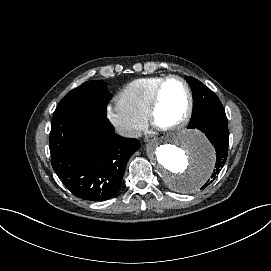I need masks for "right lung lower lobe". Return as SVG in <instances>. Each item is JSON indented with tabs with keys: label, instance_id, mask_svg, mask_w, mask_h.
<instances>
[{
	"label": "right lung lower lobe",
	"instance_id": "obj_1",
	"mask_svg": "<svg viewBox=\"0 0 271 271\" xmlns=\"http://www.w3.org/2000/svg\"><path fill=\"white\" fill-rule=\"evenodd\" d=\"M49 144L52 167L62 183L76 197L89 201L117 194L126 164L140 148L137 139L115 134L106 113L89 109L55 115Z\"/></svg>",
	"mask_w": 271,
	"mask_h": 271
}]
</instances>
